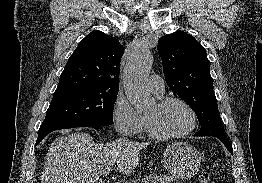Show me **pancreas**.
I'll return each instance as SVG.
<instances>
[{
  "mask_svg": "<svg viewBox=\"0 0 262 183\" xmlns=\"http://www.w3.org/2000/svg\"><path fill=\"white\" fill-rule=\"evenodd\" d=\"M176 178L168 175H148L142 183H175Z\"/></svg>",
  "mask_w": 262,
  "mask_h": 183,
  "instance_id": "obj_1",
  "label": "pancreas"
}]
</instances>
